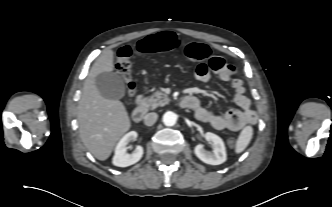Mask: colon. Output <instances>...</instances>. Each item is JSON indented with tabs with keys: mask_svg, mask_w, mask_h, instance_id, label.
<instances>
[{
	"mask_svg": "<svg viewBox=\"0 0 332 207\" xmlns=\"http://www.w3.org/2000/svg\"><path fill=\"white\" fill-rule=\"evenodd\" d=\"M181 44V39L172 33H162L155 36H149L137 44V51L141 53L170 51ZM186 57L192 61H202L207 58H213L209 47L202 43L190 42L184 47ZM132 50L128 45L120 47L116 53V68L122 75L129 95L135 90V84L132 78ZM233 144V140H228Z\"/></svg>",
	"mask_w": 332,
	"mask_h": 207,
	"instance_id": "1",
	"label": "colon"
}]
</instances>
